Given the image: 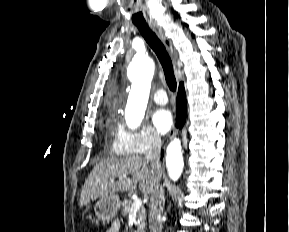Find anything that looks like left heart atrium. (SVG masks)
Here are the masks:
<instances>
[{
    "label": "left heart atrium",
    "instance_id": "39dd6f15",
    "mask_svg": "<svg viewBox=\"0 0 289 232\" xmlns=\"http://www.w3.org/2000/svg\"><path fill=\"white\" fill-rule=\"evenodd\" d=\"M152 122L159 133L168 132L173 125V117L169 110L158 109L152 115Z\"/></svg>",
    "mask_w": 289,
    "mask_h": 232
}]
</instances>
